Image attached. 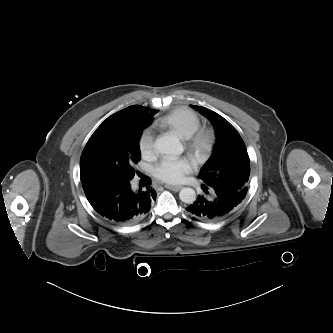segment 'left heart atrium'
Instances as JSON below:
<instances>
[{
  "instance_id": "39dd6f15",
  "label": "left heart atrium",
  "mask_w": 333,
  "mask_h": 333,
  "mask_svg": "<svg viewBox=\"0 0 333 333\" xmlns=\"http://www.w3.org/2000/svg\"><path fill=\"white\" fill-rule=\"evenodd\" d=\"M192 170V164L187 158L166 157L153 169L154 176L168 184H177L184 180Z\"/></svg>"
}]
</instances>
